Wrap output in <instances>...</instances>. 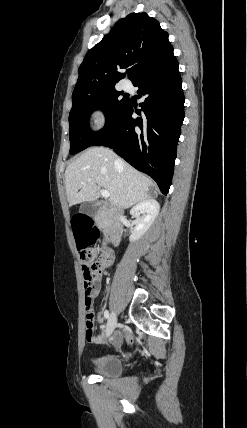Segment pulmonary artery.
Instances as JSON below:
<instances>
[{
    "instance_id": "e3ab8cb5",
    "label": "pulmonary artery",
    "mask_w": 247,
    "mask_h": 428,
    "mask_svg": "<svg viewBox=\"0 0 247 428\" xmlns=\"http://www.w3.org/2000/svg\"><path fill=\"white\" fill-rule=\"evenodd\" d=\"M124 89H126V90L130 89V85L128 83H125L124 84Z\"/></svg>"
}]
</instances>
